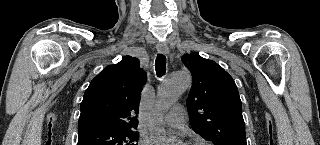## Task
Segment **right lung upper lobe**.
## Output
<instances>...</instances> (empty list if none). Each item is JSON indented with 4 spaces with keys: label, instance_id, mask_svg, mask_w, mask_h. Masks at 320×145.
<instances>
[{
    "label": "right lung upper lobe",
    "instance_id": "obj_1",
    "mask_svg": "<svg viewBox=\"0 0 320 145\" xmlns=\"http://www.w3.org/2000/svg\"><path fill=\"white\" fill-rule=\"evenodd\" d=\"M146 73L139 60L125 56L90 83L81 103L79 136L99 130L137 128L139 102Z\"/></svg>",
    "mask_w": 320,
    "mask_h": 145
}]
</instances>
